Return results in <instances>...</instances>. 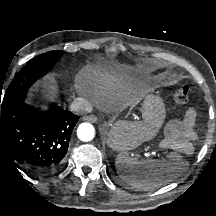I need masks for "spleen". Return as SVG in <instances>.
Here are the masks:
<instances>
[{"mask_svg":"<svg viewBox=\"0 0 216 216\" xmlns=\"http://www.w3.org/2000/svg\"><path fill=\"white\" fill-rule=\"evenodd\" d=\"M115 167L125 183L140 190H153L165 185L182 171L174 161L138 159L122 153L116 156Z\"/></svg>","mask_w":216,"mask_h":216,"instance_id":"obj_1","label":"spleen"}]
</instances>
